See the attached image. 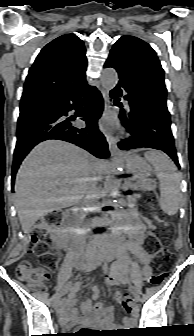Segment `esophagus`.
Returning <instances> with one entry per match:
<instances>
[{
    "label": "esophagus",
    "mask_w": 194,
    "mask_h": 336,
    "mask_svg": "<svg viewBox=\"0 0 194 336\" xmlns=\"http://www.w3.org/2000/svg\"><path fill=\"white\" fill-rule=\"evenodd\" d=\"M102 95L104 99V112H106L110 104L108 90H103ZM106 140H107V143H108V146H109V149L112 155L121 154V151L119 150L117 146L116 139L111 134L109 133L106 134Z\"/></svg>",
    "instance_id": "1"
}]
</instances>
